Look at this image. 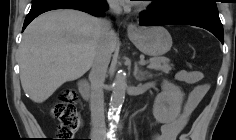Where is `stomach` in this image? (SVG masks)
Wrapping results in <instances>:
<instances>
[{
  "mask_svg": "<svg viewBox=\"0 0 236 140\" xmlns=\"http://www.w3.org/2000/svg\"><path fill=\"white\" fill-rule=\"evenodd\" d=\"M128 36L142 53L154 57L164 55L172 46L171 35L160 26L139 28Z\"/></svg>",
  "mask_w": 236,
  "mask_h": 140,
  "instance_id": "1",
  "label": "stomach"
}]
</instances>
